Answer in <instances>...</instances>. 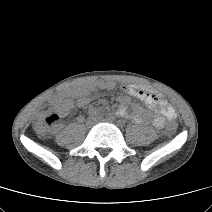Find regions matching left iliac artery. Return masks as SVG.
I'll list each match as a JSON object with an SVG mask.
<instances>
[{"mask_svg":"<svg viewBox=\"0 0 212 212\" xmlns=\"http://www.w3.org/2000/svg\"><path fill=\"white\" fill-rule=\"evenodd\" d=\"M118 125L123 126V125H124V122L121 121V120H119V121H118Z\"/></svg>","mask_w":212,"mask_h":212,"instance_id":"left-iliac-artery-1","label":"left iliac artery"}]
</instances>
